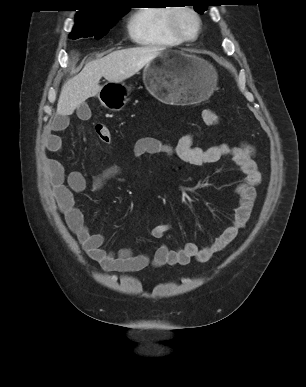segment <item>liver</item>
Returning <instances> with one entry per match:
<instances>
[{
    "instance_id": "liver-1",
    "label": "liver",
    "mask_w": 306,
    "mask_h": 387,
    "mask_svg": "<svg viewBox=\"0 0 306 387\" xmlns=\"http://www.w3.org/2000/svg\"><path fill=\"white\" fill-rule=\"evenodd\" d=\"M163 51L158 47H136L114 51L88 62L75 77L67 80L61 90L57 114L71 115L88 98L98 95L104 77L109 83H120L140 71Z\"/></svg>"
}]
</instances>
